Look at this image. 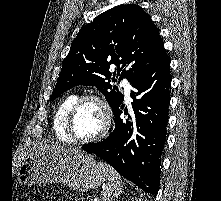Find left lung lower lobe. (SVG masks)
I'll list each match as a JSON object with an SVG mask.
<instances>
[{"label": "left lung lower lobe", "mask_w": 221, "mask_h": 201, "mask_svg": "<svg viewBox=\"0 0 221 201\" xmlns=\"http://www.w3.org/2000/svg\"><path fill=\"white\" fill-rule=\"evenodd\" d=\"M170 59L165 54L151 69L132 83L131 114L122 120L123 100L113 110L115 128L102 142L82 146L96 154L143 191L156 196L160 185L161 154L166 139Z\"/></svg>", "instance_id": "1"}]
</instances>
